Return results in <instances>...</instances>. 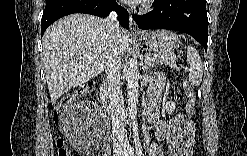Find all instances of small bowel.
<instances>
[{
	"mask_svg": "<svg viewBox=\"0 0 247 156\" xmlns=\"http://www.w3.org/2000/svg\"><path fill=\"white\" fill-rule=\"evenodd\" d=\"M163 90V77L158 75L148 94V119L154 125L155 137L163 141L170 155L191 154L195 143V125L193 121H185L182 112L175 117L164 120L160 117L157 103Z\"/></svg>",
	"mask_w": 247,
	"mask_h": 156,
	"instance_id": "1",
	"label": "small bowel"
}]
</instances>
